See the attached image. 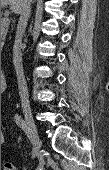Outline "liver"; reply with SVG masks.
Segmentation results:
<instances>
[{"label":"liver","mask_w":109,"mask_h":170,"mask_svg":"<svg viewBox=\"0 0 109 170\" xmlns=\"http://www.w3.org/2000/svg\"><path fill=\"white\" fill-rule=\"evenodd\" d=\"M23 3L24 0H1L2 6L10 5V10L16 14H20Z\"/></svg>","instance_id":"liver-1"}]
</instances>
